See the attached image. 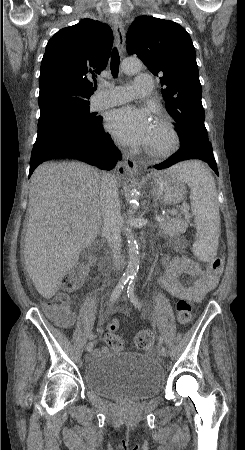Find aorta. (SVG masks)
Here are the masks:
<instances>
[{
	"label": "aorta",
	"instance_id": "762f6f07",
	"mask_svg": "<svg viewBox=\"0 0 245 450\" xmlns=\"http://www.w3.org/2000/svg\"><path fill=\"white\" fill-rule=\"evenodd\" d=\"M122 70L126 74L136 73L141 70L142 68V62L139 59L135 58H126L122 62ZM136 192L134 191L131 195L130 199V208L128 211L129 219L132 218L134 214V207L136 206ZM126 231V239H127V247H128V266L126 270V275L133 278L136 276L138 269H139V263H140V257H139V249H138V243L136 240V237L132 231L131 227H127L125 229Z\"/></svg>",
	"mask_w": 245,
	"mask_h": 450
}]
</instances>
